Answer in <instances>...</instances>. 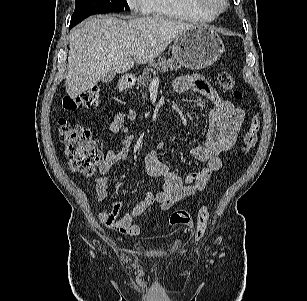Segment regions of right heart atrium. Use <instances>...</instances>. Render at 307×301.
Instances as JSON below:
<instances>
[{"instance_id":"right-heart-atrium-1","label":"right heart atrium","mask_w":307,"mask_h":301,"mask_svg":"<svg viewBox=\"0 0 307 301\" xmlns=\"http://www.w3.org/2000/svg\"><path fill=\"white\" fill-rule=\"evenodd\" d=\"M130 9L136 12H146L149 6V0H127Z\"/></svg>"}]
</instances>
